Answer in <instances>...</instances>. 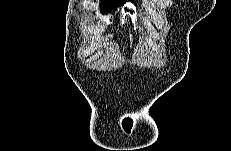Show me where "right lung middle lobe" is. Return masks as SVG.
<instances>
[{"label": "right lung middle lobe", "mask_w": 231, "mask_h": 151, "mask_svg": "<svg viewBox=\"0 0 231 151\" xmlns=\"http://www.w3.org/2000/svg\"><path fill=\"white\" fill-rule=\"evenodd\" d=\"M125 2H111V1H107V2H104L102 1V6H101V9L103 10V12H108L110 11L111 8H116L117 6H120V5H123Z\"/></svg>", "instance_id": "1"}]
</instances>
